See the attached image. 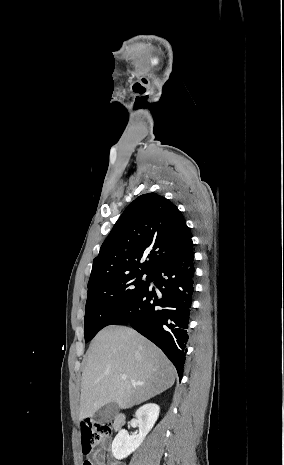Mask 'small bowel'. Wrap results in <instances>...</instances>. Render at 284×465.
<instances>
[{"instance_id": "1", "label": "small bowel", "mask_w": 284, "mask_h": 465, "mask_svg": "<svg viewBox=\"0 0 284 465\" xmlns=\"http://www.w3.org/2000/svg\"><path fill=\"white\" fill-rule=\"evenodd\" d=\"M109 450L110 449L107 442L104 441L100 443L93 455V459L95 460L94 465H105V461L108 458ZM110 465H120V462L114 461L110 463Z\"/></svg>"}]
</instances>
